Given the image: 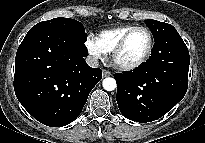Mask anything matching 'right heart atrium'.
<instances>
[{
  "instance_id": "obj_1",
  "label": "right heart atrium",
  "mask_w": 205,
  "mask_h": 143,
  "mask_svg": "<svg viewBox=\"0 0 205 143\" xmlns=\"http://www.w3.org/2000/svg\"><path fill=\"white\" fill-rule=\"evenodd\" d=\"M85 47L88 53L96 60H100L104 57V53L97 44L96 40L89 36L85 40Z\"/></svg>"
}]
</instances>
